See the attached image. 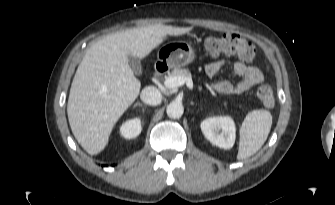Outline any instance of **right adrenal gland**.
I'll use <instances>...</instances> for the list:
<instances>
[{
    "mask_svg": "<svg viewBox=\"0 0 335 205\" xmlns=\"http://www.w3.org/2000/svg\"><path fill=\"white\" fill-rule=\"evenodd\" d=\"M136 106H143V104H141L140 102H137V103L134 105V107H136Z\"/></svg>",
    "mask_w": 335,
    "mask_h": 205,
    "instance_id": "right-adrenal-gland-1",
    "label": "right adrenal gland"
}]
</instances>
